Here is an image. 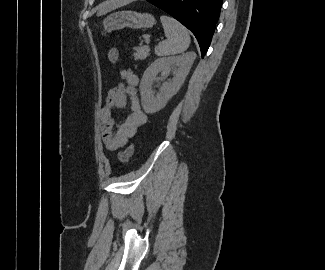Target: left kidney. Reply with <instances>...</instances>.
<instances>
[{"instance_id": "5707ae66", "label": "left kidney", "mask_w": 325, "mask_h": 270, "mask_svg": "<svg viewBox=\"0 0 325 270\" xmlns=\"http://www.w3.org/2000/svg\"><path fill=\"white\" fill-rule=\"evenodd\" d=\"M196 58L194 52L180 56L159 58L155 60L144 72L140 83L141 104L148 113H156L164 108L167 102L178 92L182 86L191 66ZM177 66L174 77L160 87V92L155 95L152 85L157 81L160 72H168L171 67Z\"/></svg>"}]
</instances>
